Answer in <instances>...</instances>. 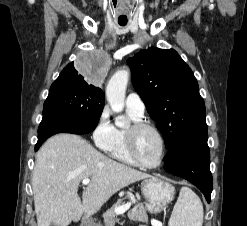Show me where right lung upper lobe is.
I'll list each match as a JSON object with an SVG mask.
<instances>
[{"label": "right lung upper lobe", "mask_w": 247, "mask_h": 226, "mask_svg": "<svg viewBox=\"0 0 247 226\" xmlns=\"http://www.w3.org/2000/svg\"><path fill=\"white\" fill-rule=\"evenodd\" d=\"M74 72H76V70L73 66V62H71L66 66V68L63 69V71L60 73V76L72 75ZM77 81L82 84L86 83L82 78H78ZM94 89L104 96V93L100 88H94Z\"/></svg>", "instance_id": "right-lung-upper-lobe-1"}]
</instances>
